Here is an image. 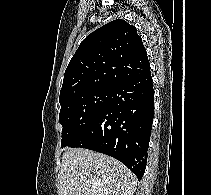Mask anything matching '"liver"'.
I'll return each mask as SVG.
<instances>
[{
	"instance_id": "6515ba94",
	"label": "liver",
	"mask_w": 211,
	"mask_h": 195,
	"mask_svg": "<svg viewBox=\"0 0 211 195\" xmlns=\"http://www.w3.org/2000/svg\"><path fill=\"white\" fill-rule=\"evenodd\" d=\"M59 177L60 195H133L137 184L124 164L83 148L66 149Z\"/></svg>"
}]
</instances>
